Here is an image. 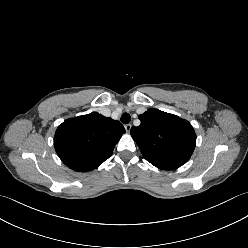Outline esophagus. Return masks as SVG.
I'll return each mask as SVG.
<instances>
[{"label":"esophagus","instance_id":"esophagus-1","mask_svg":"<svg viewBox=\"0 0 248 248\" xmlns=\"http://www.w3.org/2000/svg\"><path fill=\"white\" fill-rule=\"evenodd\" d=\"M124 127H125L126 132H130L132 126L131 124H126Z\"/></svg>","mask_w":248,"mask_h":248}]
</instances>
